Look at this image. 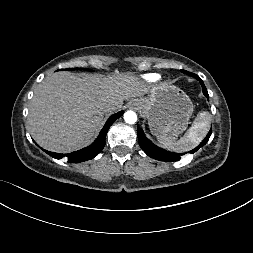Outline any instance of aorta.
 I'll return each instance as SVG.
<instances>
[{
  "label": "aorta",
  "mask_w": 253,
  "mask_h": 253,
  "mask_svg": "<svg viewBox=\"0 0 253 253\" xmlns=\"http://www.w3.org/2000/svg\"><path fill=\"white\" fill-rule=\"evenodd\" d=\"M124 120L126 123L134 124L137 121V115L133 111H127L124 114Z\"/></svg>",
  "instance_id": "1"
}]
</instances>
